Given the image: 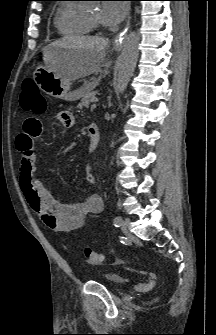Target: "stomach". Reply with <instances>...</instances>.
Masks as SVG:
<instances>
[{"label": "stomach", "mask_w": 216, "mask_h": 335, "mask_svg": "<svg viewBox=\"0 0 216 335\" xmlns=\"http://www.w3.org/2000/svg\"><path fill=\"white\" fill-rule=\"evenodd\" d=\"M76 53V49L69 47L49 45L43 49L45 66L34 72V80L43 92L66 101H75L83 96V88L71 91V80L61 74Z\"/></svg>", "instance_id": "stomach-1"}]
</instances>
